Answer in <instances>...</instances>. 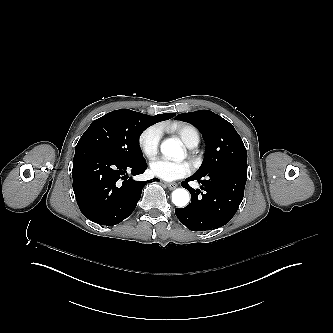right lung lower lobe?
<instances>
[{
  "label": "right lung lower lobe",
  "instance_id": "right-lung-lower-lobe-1",
  "mask_svg": "<svg viewBox=\"0 0 333 333\" xmlns=\"http://www.w3.org/2000/svg\"><path fill=\"white\" fill-rule=\"evenodd\" d=\"M146 169L145 160L130 163L95 147H76L72 177L80 211L101 225L120 223L134 211L149 182L135 181L131 175L142 174Z\"/></svg>",
  "mask_w": 333,
  "mask_h": 333
}]
</instances>
